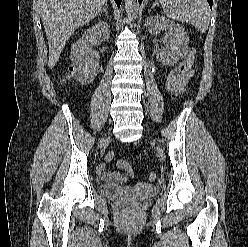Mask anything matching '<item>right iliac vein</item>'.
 <instances>
[{
	"label": "right iliac vein",
	"mask_w": 248,
	"mask_h": 247,
	"mask_svg": "<svg viewBox=\"0 0 248 247\" xmlns=\"http://www.w3.org/2000/svg\"><path fill=\"white\" fill-rule=\"evenodd\" d=\"M108 139V137H106L105 139H104V141H106Z\"/></svg>",
	"instance_id": "right-iliac-vein-1"
}]
</instances>
